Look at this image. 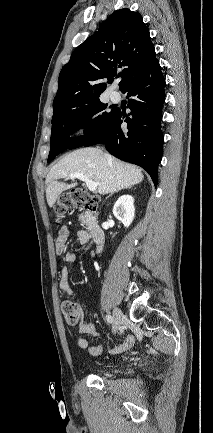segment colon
<instances>
[{"instance_id": "obj_1", "label": "colon", "mask_w": 213, "mask_h": 433, "mask_svg": "<svg viewBox=\"0 0 213 433\" xmlns=\"http://www.w3.org/2000/svg\"><path fill=\"white\" fill-rule=\"evenodd\" d=\"M75 208H85L91 212H97L98 199L84 189L76 188L62 194L55 204L54 211L59 219ZM61 312L66 322L76 326L82 317V310L73 300H65L61 303Z\"/></svg>"}]
</instances>
